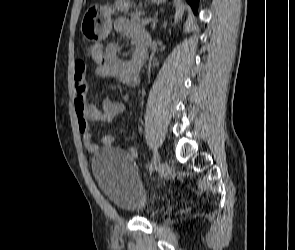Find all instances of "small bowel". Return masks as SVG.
I'll return each mask as SVG.
<instances>
[{
  "instance_id": "obj_1",
  "label": "small bowel",
  "mask_w": 295,
  "mask_h": 250,
  "mask_svg": "<svg viewBox=\"0 0 295 250\" xmlns=\"http://www.w3.org/2000/svg\"><path fill=\"white\" fill-rule=\"evenodd\" d=\"M116 31L131 40L134 47L133 57L129 61H122L118 55V44L109 43L106 47H96L91 55L98 64L95 74L100 77H116L123 84L130 87H137L140 84V72L143 64H140L141 55L146 53L147 36L144 32L134 28L126 19L119 20L115 25ZM87 67L83 60L77 61L74 71L75 80V111L77 115L78 129L82 135V143L90 152H95L98 145L91 132L90 122H109L124 110V105L109 98L101 99L97 104L89 94V87L86 80ZM114 142L111 135L103 136L101 143L110 146ZM129 154L137 157V151L130 149Z\"/></svg>"
}]
</instances>
